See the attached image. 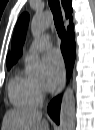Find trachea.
I'll use <instances>...</instances> for the list:
<instances>
[{
    "label": "trachea",
    "instance_id": "trachea-1",
    "mask_svg": "<svg viewBox=\"0 0 95 130\" xmlns=\"http://www.w3.org/2000/svg\"><path fill=\"white\" fill-rule=\"evenodd\" d=\"M49 6L53 13V18H54V23H55L57 33L60 38H64L65 27L63 24V18H62L59 0H49Z\"/></svg>",
    "mask_w": 95,
    "mask_h": 130
}]
</instances>
